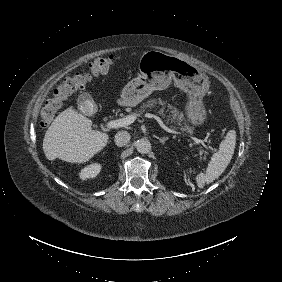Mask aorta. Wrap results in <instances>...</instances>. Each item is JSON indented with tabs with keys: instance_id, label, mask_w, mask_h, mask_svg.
Returning a JSON list of instances; mask_svg holds the SVG:
<instances>
[{
	"instance_id": "1",
	"label": "aorta",
	"mask_w": 282,
	"mask_h": 282,
	"mask_svg": "<svg viewBox=\"0 0 282 282\" xmlns=\"http://www.w3.org/2000/svg\"><path fill=\"white\" fill-rule=\"evenodd\" d=\"M135 147L139 153L146 154L151 150V143L145 138L136 141Z\"/></svg>"
}]
</instances>
